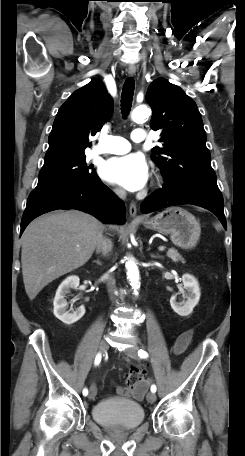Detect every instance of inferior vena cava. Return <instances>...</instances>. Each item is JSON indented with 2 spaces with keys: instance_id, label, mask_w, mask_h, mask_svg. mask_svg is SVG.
<instances>
[{
  "instance_id": "1",
  "label": "inferior vena cava",
  "mask_w": 245,
  "mask_h": 456,
  "mask_svg": "<svg viewBox=\"0 0 245 456\" xmlns=\"http://www.w3.org/2000/svg\"><path fill=\"white\" fill-rule=\"evenodd\" d=\"M115 194L121 198L125 199L126 198V191L124 189H115ZM112 248V243L109 239L105 238L102 234L99 237V240L97 242V253L103 252L104 254L108 253L111 251ZM108 290L110 293L113 292V288L115 287V280L113 278H110L108 283Z\"/></svg>"
}]
</instances>
